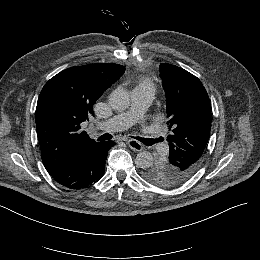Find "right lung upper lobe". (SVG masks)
<instances>
[{
	"instance_id": "right-lung-upper-lobe-1",
	"label": "right lung upper lobe",
	"mask_w": 260,
	"mask_h": 260,
	"mask_svg": "<svg viewBox=\"0 0 260 260\" xmlns=\"http://www.w3.org/2000/svg\"><path fill=\"white\" fill-rule=\"evenodd\" d=\"M125 71L118 64H89L68 68L43 87L36 107L41 158L49 174L72 163L97 142L81 123L94 114L93 105Z\"/></svg>"
}]
</instances>
